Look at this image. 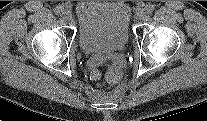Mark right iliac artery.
Here are the masks:
<instances>
[{
  "label": "right iliac artery",
  "instance_id": "obj_1",
  "mask_svg": "<svg viewBox=\"0 0 207 121\" xmlns=\"http://www.w3.org/2000/svg\"><path fill=\"white\" fill-rule=\"evenodd\" d=\"M63 11H64V9H63L62 6H57V7H55V9H54V12H55L57 15H59V16H61V15L63 14Z\"/></svg>",
  "mask_w": 207,
  "mask_h": 121
}]
</instances>
